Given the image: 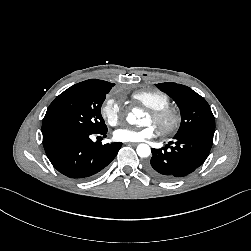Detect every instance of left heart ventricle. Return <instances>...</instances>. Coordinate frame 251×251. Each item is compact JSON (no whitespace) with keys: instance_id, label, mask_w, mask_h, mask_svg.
Returning <instances> with one entry per match:
<instances>
[{"instance_id":"left-heart-ventricle-1","label":"left heart ventricle","mask_w":251,"mask_h":251,"mask_svg":"<svg viewBox=\"0 0 251 251\" xmlns=\"http://www.w3.org/2000/svg\"><path fill=\"white\" fill-rule=\"evenodd\" d=\"M147 122H152V119L150 116L147 118Z\"/></svg>"}]
</instances>
